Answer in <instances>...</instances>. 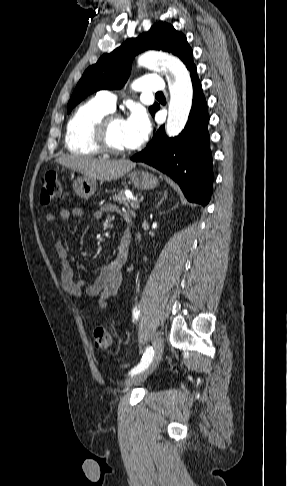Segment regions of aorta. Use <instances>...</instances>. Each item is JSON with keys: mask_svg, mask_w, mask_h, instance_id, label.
Instances as JSON below:
<instances>
[{"mask_svg": "<svg viewBox=\"0 0 287 486\" xmlns=\"http://www.w3.org/2000/svg\"><path fill=\"white\" fill-rule=\"evenodd\" d=\"M138 63L160 68L173 75L175 88L170 104L166 133L169 137L179 135L187 123L192 104V83L189 72L178 58L169 55L141 57Z\"/></svg>", "mask_w": 287, "mask_h": 486, "instance_id": "obj_1", "label": "aorta"}]
</instances>
